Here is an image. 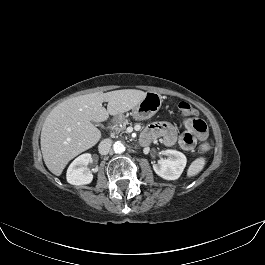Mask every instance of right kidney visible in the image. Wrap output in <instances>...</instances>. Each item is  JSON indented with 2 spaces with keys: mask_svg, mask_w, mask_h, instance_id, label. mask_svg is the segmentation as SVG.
<instances>
[{
  "mask_svg": "<svg viewBox=\"0 0 265 265\" xmlns=\"http://www.w3.org/2000/svg\"><path fill=\"white\" fill-rule=\"evenodd\" d=\"M92 162L90 153H85L77 157L68 167L66 178L72 185L89 184L93 180V174L87 165Z\"/></svg>",
  "mask_w": 265,
  "mask_h": 265,
  "instance_id": "ca27d5eb",
  "label": "right kidney"
}]
</instances>
